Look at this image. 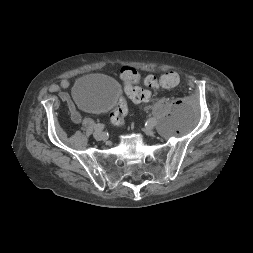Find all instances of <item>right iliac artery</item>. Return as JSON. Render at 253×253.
Here are the masks:
<instances>
[{
  "label": "right iliac artery",
  "instance_id": "82829eb1",
  "mask_svg": "<svg viewBox=\"0 0 253 253\" xmlns=\"http://www.w3.org/2000/svg\"><path fill=\"white\" fill-rule=\"evenodd\" d=\"M103 128H104V125L99 124V123L96 124L95 127H94L95 131H101V130H103Z\"/></svg>",
  "mask_w": 253,
  "mask_h": 253
}]
</instances>
